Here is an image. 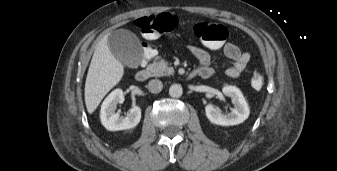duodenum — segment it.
Returning <instances> with one entry per match:
<instances>
[{
    "label": "duodenum",
    "instance_id": "410a0bca",
    "mask_svg": "<svg viewBox=\"0 0 337 171\" xmlns=\"http://www.w3.org/2000/svg\"><path fill=\"white\" fill-rule=\"evenodd\" d=\"M150 70L148 68H143L141 70H139L136 74V79L138 81H145L146 79L149 78L150 76ZM209 76V71L208 70H202V69H196L193 70L190 74H189V78H196V77H201V78H206Z\"/></svg>",
    "mask_w": 337,
    "mask_h": 171
}]
</instances>
